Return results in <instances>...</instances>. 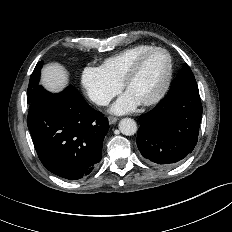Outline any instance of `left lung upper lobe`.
I'll list each match as a JSON object with an SVG mask.
<instances>
[{"label":"left lung upper lobe","instance_id":"obj_1","mask_svg":"<svg viewBox=\"0 0 232 232\" xmlns=\"http://www.w3.org/2000/svg\"><path fill=\"white\" fill-rule=\"evenodd\" d=\"M173 85L186 92H199L195 77L187 64L179 71L173 81Z\"/></svg>","mask_w":232,"mask_h":232}]
</instances>
